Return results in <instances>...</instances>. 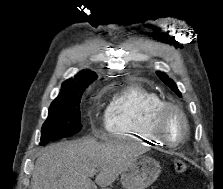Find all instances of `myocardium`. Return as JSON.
Here are the masks:
<instances>
[{
  "mask_svg": "<svg viewBox=\"0 0 223 189\" xmlns=\"http://www.w3.org/2000/svg\"><path fill=\"white\" fill-rule=\"evenodd\" d=\"M171 112H175L180 116L184 126V131L181 138L175 142L170 141L164 134V121L167 115ZM151 131L164 144L171 147H177L187 139L190 132V125L188 118L181 107L174 103L163 102L162 105L154 112L152 116Z\"/></svg>",
  "mask_w": 223,
  "mask_h": 189,
  "instance_id": "f54148a6",
  "label": "myocardium"
}]
</instances>
